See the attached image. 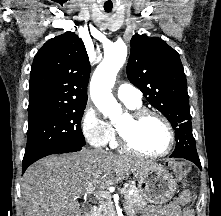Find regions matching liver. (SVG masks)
Instances as JSON below:
<instances>
[{
	"label": "liver",
	"instance_id": "obj_1",
	"mask_svg": "<svg viewBox=\"0 0 221 216\" xmlns=\"http://www.w3.org/2000/svg\"><path fill=\"white\" fill-rule=\"evenodd\" d=\"M149 165V161L87 149L40 159L22 178L25 216H82L78 198L88 189L104 190Z\"/></svg>",
	"mask_w": 221,
	"mask_h": 216
}]
</instances>
